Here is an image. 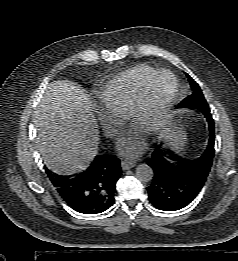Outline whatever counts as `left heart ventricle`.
Returning a JSON list of instances; mask_svg holds the SVG:
<instances>
[{
	"instance_id": "obj_1",
	"label": "left heart ventricle",
	"mask_w": 238,
	"mask_h": 261,
	"mask_svg": "<svg viewBox=\"0 0 238 261\" xmlns=\"http://www.w3.org/2000/svg\"><path fill=\"white\" fill-rule=\"evenodd\" d=\"M173 88V79L168 74L157 76L147 90L145 110L134 120L133 127L143 133L149 131L159 116Z\"/></svg>"
}]
</instances>
